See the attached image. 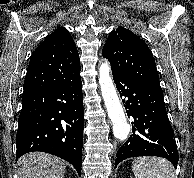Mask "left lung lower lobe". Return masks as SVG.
I'll return each mask as SVG.
<instances>
[{
	"label": "left lung lower lobe",
	"mask_w": 194,
	"mask_h": 178,
	"mask_svg": "<svg viewBox=\"0 0 194 178\" xmlns=\"http://www.w3.org/2000/svg\"><path fill=\"white\" fill-rule=\"evenodd\" d=\"M112 74L120 96L128 98L123 100L127 115L134 118L133 134L117 152L115 166L137 156L163 157L177 165L178 150L161 87Z\"/></svg>",
	"instance_id": "1"
}]
</instances>
